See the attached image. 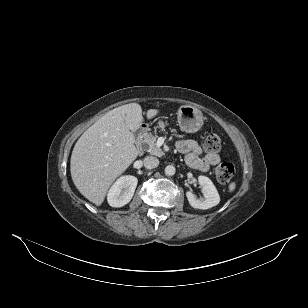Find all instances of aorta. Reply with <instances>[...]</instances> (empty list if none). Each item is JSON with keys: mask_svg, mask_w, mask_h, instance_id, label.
I'll use <instances>...</instances> for the list:
<instances>
[{"mask_svg": "<svg viewBox=\"0 0 308 308\" xmlns=\"http://www.w3.org/2000/svg\"><path fill=\"white\" fill-rule=\"evenodd\" d=\"M165 174L168 175V176H172L175 174V167L173 165H168L165 167Z\"/></svg>", "mask_w": 308, "mask_h": 308, "instance_id": "obj_1", "label": "aorta"}]
</instances>
